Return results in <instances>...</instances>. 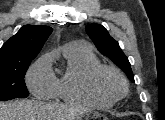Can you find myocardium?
<instances>
[{
	"label": "myocardium",
	"mask_w": 165,
	"mask_h": 120,
	"mask_svg": "<svg viewBox=\"0 0 165 120\" xmlns=\"http://www.w3.org/2000/svg\"><path fill=\"white\" fill-rule=\"evenodd\" d=\"M110 72L118 77L122 83L123 89L119 94H109L102 91L98 86V80L100 76L105 73ZM87 89L89 93L104 102L114 103L121 98H123L128 92V82L124 74L116 67L107 64H99L94 67L88 74L87 77Z\"/></svg>",
	"instance_id": "f54148a6"
}]
</instances>
